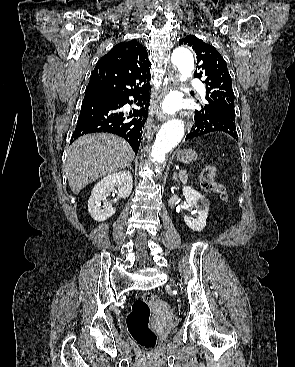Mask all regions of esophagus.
I'll return each mask as SVG.
<instances>
[{"mask_svg": "<svg viewBox=\"0 0 295 367\" xmlns=\"http://www.w3.org/2000/svg\"><path fill=\"white\" fill-rule=\"evenodd\" d=\"M168 81L166 83L165 90L163 92V96H165L169 91L176 89L177 80H178V72L174 68H169L168 71ZM156 116L160 121H166L169 119V115L165 114L161 109L157 110Z\"/></svg>", "mask_w": 295, "mask_h": 367, "instance_id": "34e87169", "label": "esophagus"}]
</instances>
